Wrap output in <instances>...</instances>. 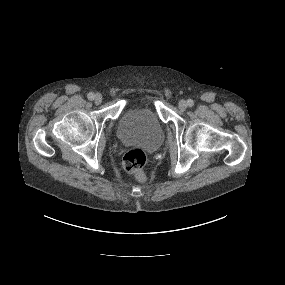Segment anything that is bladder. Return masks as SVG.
Wrapping results in <instances>:
<instances>
[{
	"label": "bladder",
	"mask_w": 285,
	"mask_h": 285,
	"mask_svg": "<svg viewBox=\"0 0 285 285\" xmlns=\"http://www.w3.org/2000/svg\"><path fill=\"white\" fill-rule=\"evenodd\" d=\"M118 134L121 139L136 142L148 150L158 148L164 138L162 124L152 110L122 117L118 126Z\"/></svg>",
	"instance_id": "31cf9c89"
}]
</instances>
